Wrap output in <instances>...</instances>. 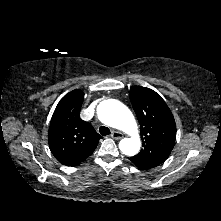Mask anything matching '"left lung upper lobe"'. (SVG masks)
Returning a JSON list of instances; mask_svg holds the SVG:
<instances>
[{
    "instance_id": "obj_1",
    "label": "left lung upper lobe",
    "mask_w": 221,
    "mask_h": 221,
    "mask_svg": "<svg viewBox=\"0 0 221 221\" xmlns=\"http://www.w3.org/2000/svg\"><path fill=\"white\" fill-rule=\"evenodd\" d=\"M129 95L143 142V149L132 158L156 167L173 149L176 139L174 117L161 96L149 88L133 87Z\"/></svg>"
}]
</instances>
